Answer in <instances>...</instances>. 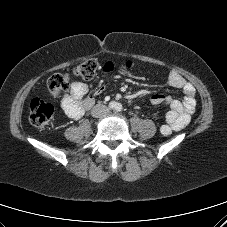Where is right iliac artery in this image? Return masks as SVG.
I'll use <instances>...</instances> for the list:
<instances>
[{
  "instance_id": "right-iliac-artery-1",
  "label": "right iliac artery",
  "mask_w": 227,
  "mask_h": 227,
  "mask_svg": "<svg viewBox=\"0 0 227 227\" xmlns=\"http://www.w3.org/2000/svg\"><path fill=\"white\" fill-rule=\"evenodd\" d=\"M116 105H117V103L114 102V101H112V102L109 103V108L115 109L116 108Z\"/></svg>"
}]
</instances>
